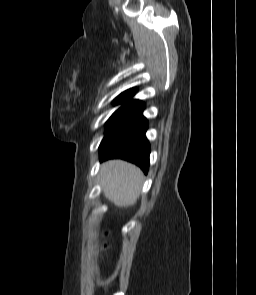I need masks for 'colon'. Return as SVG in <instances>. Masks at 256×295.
<instances>
[{"mask_svg":"<svg viewBox=\"0 0 256 295\" xmlns=\"http://www.w3.org/2000/svg\"><path fill=\"white\" fill-rule=\"evenodd\" d=\"M107 231H104V234H106ZM107 246V243L105 241L101 242V247L105 248Z\"/></svg>","mask_w":256,"mask_h":295,"instance_id":"obj_1","label":"colon"}]
</instances>
